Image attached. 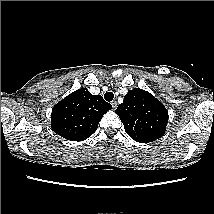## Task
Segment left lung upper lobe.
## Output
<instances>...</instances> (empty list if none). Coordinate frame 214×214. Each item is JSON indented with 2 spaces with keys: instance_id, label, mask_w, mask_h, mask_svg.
<instances>
[{
  "instance_id": "1",
  "label": "left lung upper lobe",
  "mask_w": 214,
  "mask_h": 214,
  "mask_svg": "<svg viewBox=\"0 0 214 214\" xmlns=\"http://www.w3.org/2000/svg\"><path fill=\"white\" fill-rule=\"evenodd\" d=\"M115 112L123 122L126 133L137 142H153L165 134L168 111L145 90H130Z\"/></svg>"
}]
</instances>
